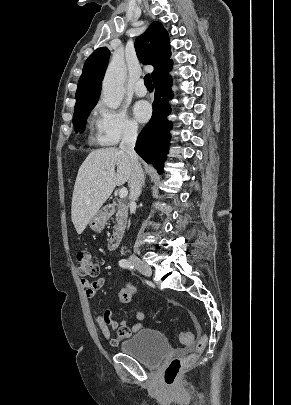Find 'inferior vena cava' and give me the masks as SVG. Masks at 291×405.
I'll return each mask as SVG.
<instances>
[{"label":"inferior vena cava","instance_id":"1","mask_svg":"<svg viewBox=\"0 0 291 405\" xmlns=\"http://www.w3.org/2000/svg\"><path fill=\"white\" fill-rule=\"evenodd\" d=\"M137 139V129L134 127L126 129L123 139L120 143V150L124 151L131 162V173L128 181L130 188V202L135 203L138 200L142 184L144 183L143 169L138 161V155L134 150ZM136 257L133 255L130 257L131 261H136Z\"/></svg>","mask_w":291,"mask_h":405}]
</instances>
